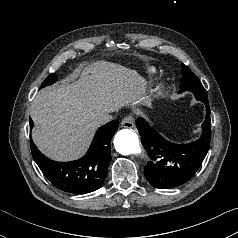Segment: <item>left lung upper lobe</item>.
<instances>
[{
	"label": "left lung upper lobe",
	"instance_id": "5c2ea615",
	"mask_svg": "<svg viewBox=\"0 0 238 238\" xmlns=\"http://www.w3.org/2000/svg\"><path fill=\"white\" fill-rule=\"evenodd\" d=\"M182 67V78L179 93L183 91H191L197 100L208 101L205 88L201 85L197 76L192 73L188 67L184 64Z\"/></svg>",
	"mask_w": 238,
	"mask_h": 238
}]
</instances>
